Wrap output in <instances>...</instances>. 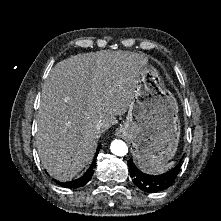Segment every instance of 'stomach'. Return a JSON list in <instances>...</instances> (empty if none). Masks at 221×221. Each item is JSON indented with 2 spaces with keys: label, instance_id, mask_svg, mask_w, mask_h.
Instances as JSON below:
<instances>
[{
  "label": "stomach",
  "instance_id": "1",
  "mask_svg": "<svg viewBox=\"0 0 221 221\" xmlns=\"http://www.w3.org/2000/svg\"><path fill=\"white\" fill-rule=\"evenodd\" d=\"M178 104L164 86L160 73L148 63L140 71L126 121L119 132L134 147L144 171H154L173 158L178 147Z\"/></svg>",
  "mask_w": 221,
  "mask_h": 221
}]
</instances>
